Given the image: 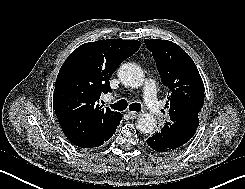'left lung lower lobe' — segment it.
Returning <instances> with one entry per match:
<instances>
[{
    "label": "left lung lower lobe",
    "mask_w": 245,
    "mask_h": 189,
    "mask_svg": "<svg viewBox=\"0 0 245 189\" xmlns=\"http://www.w3.org/2000/svg\"><path fill=\"white\" fill-rule=\"evenodd\" d=\"M147 144L155 151L157 152H173L180 147H176L175 144L169 142L168 139H166L161 132L154 133L151 137L148 138Z\"/></svg>",
    "instance_id": "1"
}]
</instances>
